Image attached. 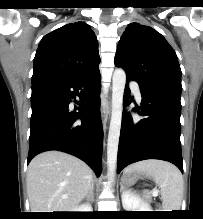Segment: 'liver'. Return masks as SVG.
<instances>
[{
	"mask_svg": "<svg viewBox=\"0 0 203 219\" xmlns=\"http://www.w3.org/2000/svg\"><path fill=\"white\" fill-rule=\"evenodd\" d=\"M93 172L82 160L60 151L43 152L27 171L32 212H72L91 188Z\"/></svg>",
	"mask_w": 203,
	"mask_h": 219,
	"instance_id": "1",
	"label": "liver"
}]
</instances>
